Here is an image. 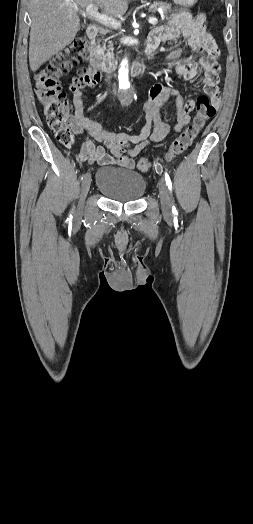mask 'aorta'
Listing matches in <instances>:
<instances>
[{
  "label": "aorta",
  "instance_id": "1",
  "mask_svg": "<svg viewBox=\"0 0 253 524\" xmlns=\"http://www.w3.org/2000/svg\"><path fill=\"white\" fill-rule=\"evenodd\" d=\"M118 79L120 89L126 90L130 87L128 61L126 59L121 62Z\"/></svg>",
  "mask_w": 253,
  "mask_h": 524
}]
</instances>
